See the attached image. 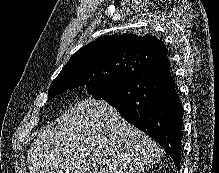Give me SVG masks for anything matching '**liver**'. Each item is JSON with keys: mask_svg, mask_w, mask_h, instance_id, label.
<instances>
[{"mask_svg": "<svg viewBox=\"0 0 219 173\" xmlns=\"http://www.w3.org/2000/svg\"><path fill=\"white\" fill-rule=\"evenodd\" d=\"M162 155L115 108L90 98L37 132L27 163L30 173H144Z\"/></svg>", "mask_w": 219, "mask_h": 173, "instance_id": "obj_1", "label": "liver"}]
</instances>
